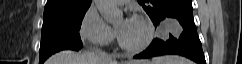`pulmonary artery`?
Masks as SVG:
<instances>
[{
  "label": "pulmonary artery",
  "mask_w": 242,
  "mask_h": 64,
  "mask_svg": "<svg viewBox=\"0 0 242 64\" xmlns=\"http://www.w3.org/2000/svg\"><path fill=\"white\" fill-rule=\"evenodd\" d=\"M115 2L118 4V5H124L128 2V0H115Z\"/></svg>",
  "instance_id": "pulmonary-artery-1"
}]
</instances>
